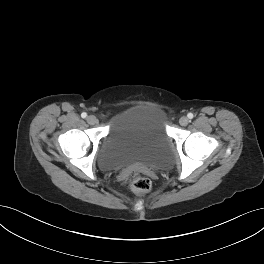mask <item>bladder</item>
I'll list each match as a JSON object with an SVG mask.
<instances>
[{
	"mask_svg": "<svg viewBox=\"0 0 264 264\" xmlns=\"http://www.w3.org/2000/svg\"><path fill=\"white\" fill-rule=\"evenodd\" d=\"M171 158L165 113L153 106H139L119 117L97 152V163L103 171L135 165L161 168Z\"/></svg>",
	"mask_w": 264,
	"mask_h": 264,
	"instance_id": "obj_1",
	"label": "bladder"
}]
</instances>
